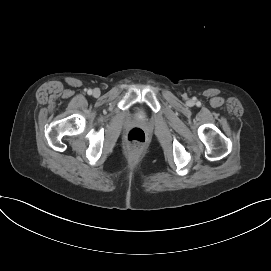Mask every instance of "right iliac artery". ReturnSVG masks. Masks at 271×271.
<instances>
[{"mask_svg":"<svg viewBox=\"0 0 271 271\" xmlns=\"http://www.w3.org/2000/svg\"><path fill=\"white\" fill-rule=\"evenodd\" d=\"M87 93H88L89 95H91V94H92V90L89 89V90L87 91Z\"/></svg>","mask_w":271,"mask_h":271,"instance_id":"82829eb1","label":"right iliac artery"}]
</instances>
